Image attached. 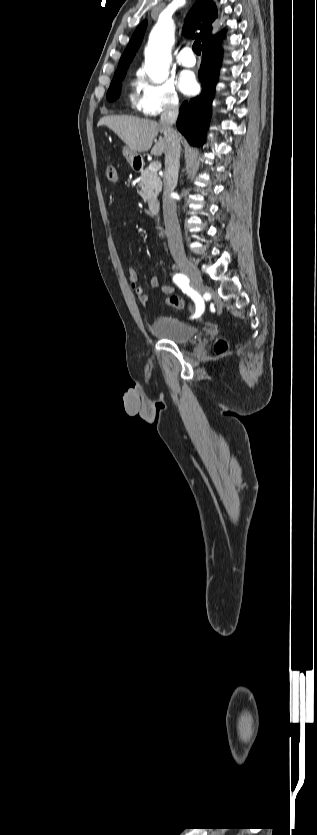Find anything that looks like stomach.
<instances>
[{
    "label": "stomach",
    "instance_id": "1",
    "mask_svg": "<svg viewBox=\"0 0 317 835\" xmlns=\"http://www.w3.org/2000/svg\"><path fill=\"white\" fill-rule=\"evenodd\" d=\"M122 152L126 160L132 166L137 164L138 162H141L142 160V157L138 153L133 152L128 146H125Z\"/></svg>",
    "mask_w": 317,
    "mask_h": 835
}]
</instances>
